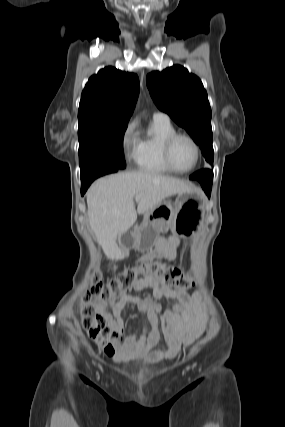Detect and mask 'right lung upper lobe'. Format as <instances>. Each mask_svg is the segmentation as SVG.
Returning a JSON list of instances; mask_svg holds the SVG:
<instances>
[{
  "label": "right lung upper lobe",
  "instance_id": "cb5924a9",
  "mask_svg": "<svg viewBox=\"0 0 285 427\" xmlns=\"http://www.w3.org/2000/svg\"><path fill=\"white\" fill-rule=\"evenodd\" d=\"M139 94L136 74L106 67L88 80L81 95L79 121H128Z\"/></svg>",
  "mask_w": 285,
  "mask_h": 427
}]
</instances>
